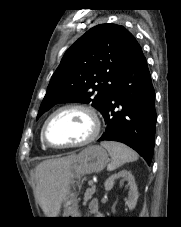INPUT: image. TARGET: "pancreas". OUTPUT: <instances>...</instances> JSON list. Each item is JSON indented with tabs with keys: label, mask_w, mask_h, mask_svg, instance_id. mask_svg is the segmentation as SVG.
<instances>
[{
	"label": "pancreas",
	"mask_w": 181,
	"mask_h": 227,
	"mask_svg": "<svg viewBox=\"0 0 181 227\" xmlns=\"http://www.w3.org/2000/svg\"><path fill=\"white\" fill-rule=\"evenodd\" d=\"M95 193V186H91L88 188L84 194V204H86L93 196Z\"/></svg>",
	"instance_id": "1"
}]
</instances>
